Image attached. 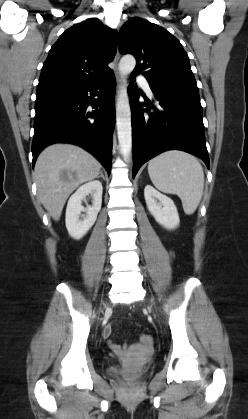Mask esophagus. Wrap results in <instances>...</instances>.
Wrapping results in <instances>:
<instances>
[{
    "mask_svg": "<svg viewBox=\"0 0 248 419\" xmlns=\"http://www.w3.org/2000/svg\"><path fill=\"white\" fill-rule=\"evenodd\" d=\"M120 59V52L119 49L117 48V52L114 58V63H115V68H114V73H115V77H116V81H117V88H120V86L122 85L123 79L120 75V72L118 70V62Z\"/></svg>",
    "mask_w": 248,
    "mask_h": 419,
    "instance_id": "esophagus-1",
    "label": "esophagus"
}]
</instances>
